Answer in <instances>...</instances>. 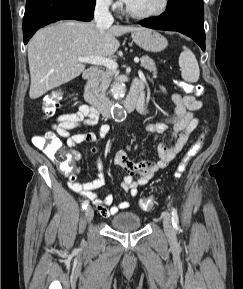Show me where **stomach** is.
I'll list each match as a JSON object with an SVG mask.
<instances>
[{
    "label": "stomach",
    "mask_w": 243,
    "mask_h": 289,
    "mask_svg": "<svg viewBox=\"0 0 243 289\" xmlns=\"http://www.w3.org/2000/svg\"><path fill=\"white\" fill-rule=\"evenodd\" d=\"M132 39L142 49L149 52H160L168 45V41L163 35L151 29L133 31Z\"/></svg>",
    "instance_id": "0dacf381"
}]
</instances>
